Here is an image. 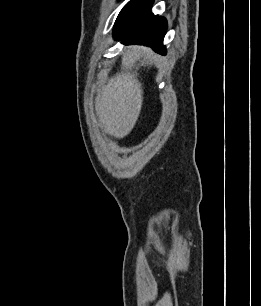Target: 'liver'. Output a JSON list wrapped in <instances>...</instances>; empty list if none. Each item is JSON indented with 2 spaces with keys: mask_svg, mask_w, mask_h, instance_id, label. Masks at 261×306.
Segmentation results:
<instances>
[{
  "mask_svg": "<svg viewBox=\"0 0 261 306\" xmlns=\"http://www.w3.org/2000/svg\"><path fill=\"white\" fill-rule=\"evenodd\" d=\"M150 49L129 47L122 57L121 72L112 77L95 101L96 113L103 132L124 138L134 128L143 103V89L137 70V60L151 56Z\"/></svg>",
  "mask_w": 261,
  "mask_h": 306,
  "instance_id": "6515ba94",
  "label": "liver"
}]
</instances>
